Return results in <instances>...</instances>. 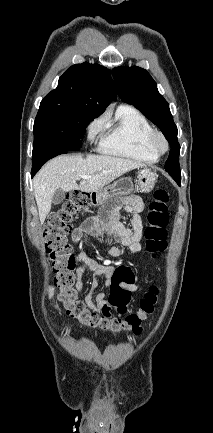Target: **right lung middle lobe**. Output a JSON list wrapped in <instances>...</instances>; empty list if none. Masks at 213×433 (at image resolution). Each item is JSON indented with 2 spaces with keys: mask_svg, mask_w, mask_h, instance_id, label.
I'll use <instances>...</instances> for the list:
<instances>
[{
  "mask_svg": "<svg viewBox=\"0 0 213 433\" xmlns=\"http://www.w3.org/2000/svg\"><path fill=\"white\" fill-rule=\"evenodd\" d=\"M95 117L82 108L41 103L34 122L33 152L46 147L79 150L85 128Z\"/></svg>",
  "mask_w": 213,
  "mask_h": 433,
  "instance_id": "obj_1",
  "label": "right lung middle lobe"
}]
</instances>
